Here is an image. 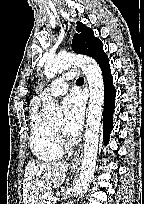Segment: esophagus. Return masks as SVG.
I'll list each match as a JSON object with an SVG mask.
<instances>
[{
    "instance_id": "34e87169",
    "label": "esophagus",
    "mask_w": 144,
    "mask_h": 204,
    "mask_svg": "<svg viewBox=\"0 0 144 204\" xmlns=\"http://www.w3.org/2000/svg\"><path fill=\"white\" fill-rule=\"evenodd\" d=\"M82 157H83V144H81L79 146V148L77 149V151L74 154V157L71 161V168L72 169L79 167Z\"/></svg>"
}]
</instances>
